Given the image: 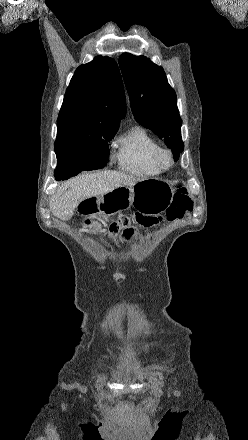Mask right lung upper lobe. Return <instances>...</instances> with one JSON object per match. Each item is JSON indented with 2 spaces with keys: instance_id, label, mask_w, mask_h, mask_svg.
<instances>
[{
  "instance_id": "right-lung-upper-lobe-1",
  "label": "right lung upper lobe",
  "mask_w": 248,
  "mask_h": 440,
  "mask_svg": "<svg viewBox=\"0 0 248 440\" xmlns=\"http://www.w3.org/2000/svg\"><path fill=\"white\" fill-rule=\"evenodd\" d=\"M126 114L125 93L116 61L97 56L79 66L66 90L57 119L55 148L95 132L115 131Z\"/></svg>"
}]
</instances>
